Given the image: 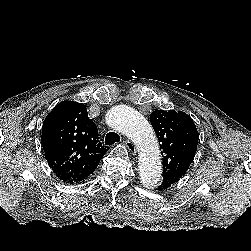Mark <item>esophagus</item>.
Segmentation results:
<instances>
[{
    "instance_id": "1",
    "label": "esophagus",
    "mask_w": 251,
    "mask_h": 251,
    "mask_svg": "<svg viewBox=\"0 0 251 251\" xmlns=\"http://www.w3.org/2000/svg\"><path fill=\"white\" fill-rule=\"evenodd\" d=\"M122 142L126 145L131 155H136L137 151H136L135 145L129 139L123 138Z\"/></svg>"
}]
</instances>
